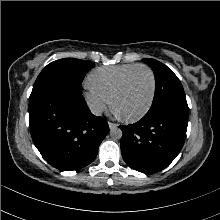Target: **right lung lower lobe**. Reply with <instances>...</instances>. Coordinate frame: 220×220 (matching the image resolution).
<instances>
[{"instance_id":"1","label":"right lung lower lobe","mask_w":220,"mask_h":220,"mask_svg":"<svg viewBox=\"0 0 220 220\" xmlns=\"http://www.w3.org/2000/svg\"><path fill=\"white\" fill-rule=\"evenodd\" d=\"M29 120L33 142L43 158L64 171L89 165L109 132L107 121L90 112L82 93L64 86L32 90Z\"/></svg>"}]
</instances>
